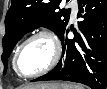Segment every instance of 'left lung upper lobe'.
<instances>
[{"mask_svg":"<svg viewBox=\"0 0 107 89\" xmlns=\"http://www.w3.org/2000/svg\"><path fill=\"white\" fill-rule=\"evenodd\" d=\"M60 2L61 0H12L5 18L6 34L2 41L4 72L12 49L27 32L44 26L59 37L62 35L69 21L70 10L57 11Z\"/></svg>","mask_w":107,"mask_h":89,"instance_id":"1","label":"left lung upper lobe"}]
</instances>
